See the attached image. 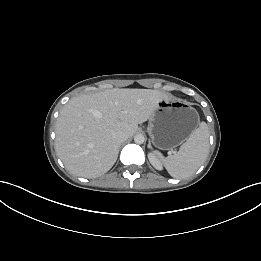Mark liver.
I'll use <instances>...</instances> for the list:
<instances>
[{
	"instance_id": "1",
	"label": "liver",
	"mask_w": 261,
	"mask_h": 261,
	"mask_svg": "<svg viewBox=\"0 0 261 261\" xmlns=\"http://www.w3.org/2000/svg\"><path fill=\"white\" fill-rule=\"evenodd\" d=\"M166 98L158 90L115 88L70 99L55 127L59 158L74 175L96 178L105 174L119 153L113 134L132 136Z\"/></svg>"
}]
</instances>
